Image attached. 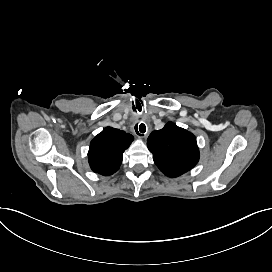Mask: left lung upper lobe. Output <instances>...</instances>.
<instances>
[{"label": "left lung upper lobe", "mask_w": 272, "mask_h": 272, "mask_svg": "<svg viewBox=\"0 0 272 272\" xmlns=\"http://www.w3.org/2000/svg\"><path fill=\"white\" fill-rule=\"evenodd\" d=\"M147 146L160 171L171 178L186 173L199 160L196 137L173 122L153 131L147 139Z\"/></svg>", "instance_id": "obj_1"}]
</instances>
